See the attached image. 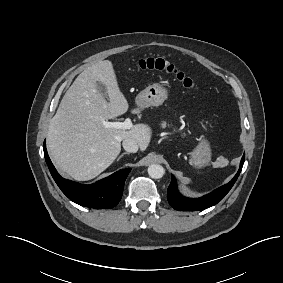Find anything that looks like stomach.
I'll use <instances>...</instances> for the list:
<instances>
[{
  "mask_svg": "<svg viewBox=\"0 0 283 283\" xmlns=\"http://www.w3.org/2000/svg\"><path fill=\"white\" fill-rule=\"evenodd\" d=\"M168 97V90L160 82L153 83L142 90L135 99L140 109L161 105ZM195 165H204L211 156L209 142L202 136L198 146L191 153Z\"/></svg>",
  "mask_w": 283,
  "mask_h": 283,
  "instance_id": "0dacf381",
  "label": "stomach"
}]
</instances>
